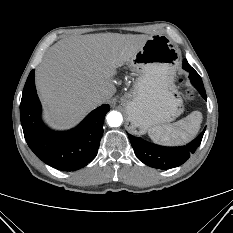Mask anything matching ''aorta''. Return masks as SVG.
Segmentation results:
<instances>
[{
    "label": "aorta",
    "instance_id": "1",
    "mask_svg": "<svg viewBox=\"0 0 233 233\" xmlns=\"http://www.w3.org/2000/svg\"><path fill=\"white\" fill-rule=\"evenodd\" d=\"M107 123L111 127H118L123 121L122 114L118 111H111L107 115Z\"/></svg>",
    "mask_w": 233,
    "mask_h": 233
}]
</instances>
